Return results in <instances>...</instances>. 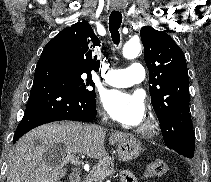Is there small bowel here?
Segmentation results:
<instances>
[{"instance_id":"1","label":"small bowel","mask_w":211,"mask_h":182,"mask_svg":"<svg viewBox=\"0 0 211 182\" xmlns=\"http://www.w3.org/2000/svg\"><path fill=\"white\" fill-rule=\"evenodd\" d=\"M121 182H137V180L130 171H123L121 173Z\"/></svg>"}]
</instances>
